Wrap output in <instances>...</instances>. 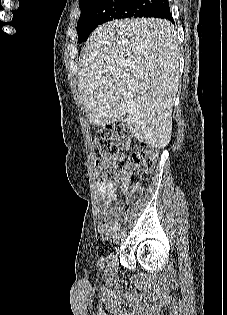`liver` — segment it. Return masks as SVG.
<instances>
[{"label": "liver", "mask_w": 227, "mask_h": 315, "mask_svg": "<svg viewBox=\"0 0 227 315\" xmlns=\"http://www.w3.org/2000/svg\"><path fill=\"white\" fill-rule=\"evenodd\" d=\"M179 59L176 30L167 20H115L96 28L81 51L78 73L90 123L104 126L126 116L140 142L167 146Z\"/></svg>", "instance_id": "liver-1"}]
</instances>
